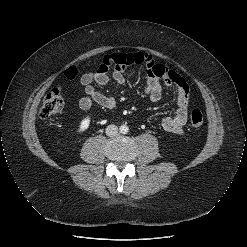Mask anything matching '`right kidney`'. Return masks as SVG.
Listing matches in <instances>:
<instances>
[{
    "label": "right kidney",
    "mask_w": 247,
    "mask_h": 247,
    "mask_svg": "<svg viewBox=\"0 0 247 247\" xmlns=\"http://www.w3.org/2000/svg\"><path fill=\"white\" fill-rule=\"evenodd\" d=\"M90 121H91L90 116H86L84 119H82L80 124H79V128H78L77 132L82 133L85 130H87L89 125H90Z\"/></svg>",
    "instance_id": "ca27d5eb"
}]
</instances>
